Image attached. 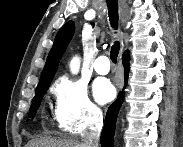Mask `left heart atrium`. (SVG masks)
I'll return each mask as SVG.
<instances>
[{
  "instance_id": "39dd6f15",
  "label": "left heart atrium",
  "mask_w": 183,
  "mask_h": 147,
  "mask_svg": "<svg viewBox=\"0 0 183 147\" xmlns=\"http://www.w3.org/2000/svg\"><path fill=\"white\" fill-rule=\"evenodd\" d=\"M114 94L115 89L109 80L99 78L93 83V95L98 103L104 104L110 101Z\"/></svg>"
}]
</instances>
